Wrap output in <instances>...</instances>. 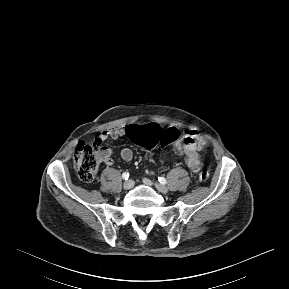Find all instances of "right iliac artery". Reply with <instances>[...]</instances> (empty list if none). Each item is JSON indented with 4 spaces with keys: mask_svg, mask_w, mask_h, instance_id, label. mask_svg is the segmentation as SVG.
<instances>
[{
    "mask_svg": "<svg viewBox=\"0 0 289 289\" xmlns=\"http://www.w3.org/2000/svg\"><path fill=\"white\" fill-rule=\"evenodd\" d=\"M122 178H123L124 180H128V178H129V173H128V172H124V173L122 174Z\"/></svg>",
    "mask_w": 289,
    "mask_h": 289,
    "instance_id": "right-iliac-artery-1",
    "label": "right iliac artery"
}]
</instances>
